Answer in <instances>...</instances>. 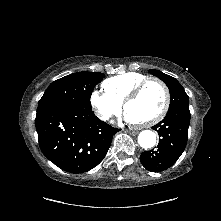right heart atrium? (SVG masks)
Masks as SVG:
<instances>
[{"label":"right heart atrium","instance_id":"d8ad5b80","mask_svg":"<svg viewBox=\"0 0 221 221\" xmlns=\"http://www.w3.org/2000/svg\"><path fill=\"white\" fill-rule=\"evenodd\" d=\"M90 103L96 116L103 121H106L112 115L119 113L122 106L100 90H95L91 93Z\"/></svg>","mask_w":221,"mask_h":221}]
</instances>
